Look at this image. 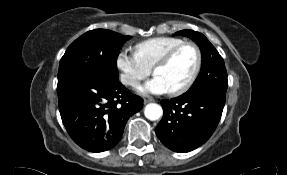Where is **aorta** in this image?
<instances>
[{"mask_svg":"<svg viewBox=\"0 0 287 175\" xmlns=\"http://www.w3.org/2000/svg\"><path fill=\"white\" fill-rule=\"evenodd\" d=\"M163 114L162 107L156 103L147 104L144 109V115L151 121L158 120Z\"/></svg>","mask_w":287,"mask_h":175,"instance_id":"1","label":"aorta"}]
</instances>
